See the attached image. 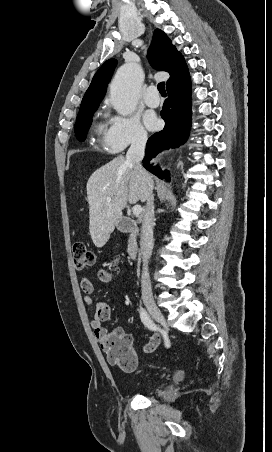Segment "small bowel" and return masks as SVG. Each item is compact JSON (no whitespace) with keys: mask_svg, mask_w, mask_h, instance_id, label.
Segmentation results:
<instances>
[{"mask_svg":"<svg viewBox=\"0 0 272 452\" xmlns=\"http://www.w3.org/2000/svg\"><path fill=\"white\" fill-rule=\"evenodd\" d=\"M98 278L105 283L112 280L113 274L105 269H100L98 271ZM80 285L83 291V300L87 305H92L94 303V285L86 277L83 276L80 281ZM112 314V305L108 302H99L96 306V311L93 318L90 321V326L94 330L95 337L99 342L100 347L103 350H107V344L112 338L126 336L131 341V336L126 334L123 329L115 328L112 330L104 329L102 324L107 321ZM160 344V335L158 333H153L144 345L143 351L146 354L153 353Z\"/></svg>","mask_w":272,"mask_h":452,"instance_id":"obj_1","label":"small bowel"}]
</instances>
